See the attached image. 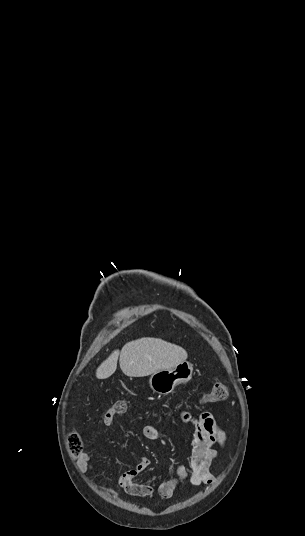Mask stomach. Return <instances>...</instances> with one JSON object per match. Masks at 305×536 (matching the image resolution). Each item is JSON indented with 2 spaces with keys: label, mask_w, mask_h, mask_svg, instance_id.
<instances>
[{
  "label": "stomach",
  "mask_w": 305,
  "mask_h": 536,
  "mask_svg": "<svg viewBox=\"0 0 305 536\" xmlns=\"http://www.w3.org/2000/svg\"><path fill=\"white\" fill-rule=\"evenodd\" d=\"M193 374V364H190V362H180V364H176L174 368H170V370H159V372H155V374H152L149 384L151 390L153 392H157V394H170V392H173L175 386H179V384H187L189 380H191Z\"/></svg>",
  "instance_id": "obj_1"
}]
</instances>
